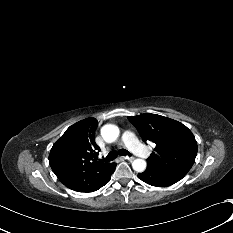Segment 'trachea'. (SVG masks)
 <instances>
[{"label": "trachea", "instance_id": "trachea-1", "mask_svg": "<svg viewBox=\"0 0 233 233\" xmlns=\"http://www.w3.org/2000/svg\"><path fill=\"white\" fill-rule=\"evenodd\" d=\"M120 155V156H131L130 152L125 150V149H121L119 150L118 152L117 151H112L110 152L107 157L104 159L105 162H110V161H113L117 155Z\"/></svg>", "mask_w": 233, "mask_h": 233}]
</instances>
